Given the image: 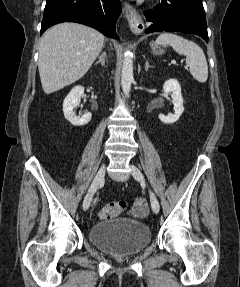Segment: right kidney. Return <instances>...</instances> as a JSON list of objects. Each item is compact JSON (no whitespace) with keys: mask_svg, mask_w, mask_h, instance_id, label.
Here are the masks:
<instances>
[{"mask_svg":"<svg viewBox=\"0 0 240 287\" xmlns=\"http://www.w3.org/2000/svg\"><path fill=\"white\" fill-rule=\"evenodd\" d=\"M84 94V87L76 86L66 96L63 102L64 117L74 126H83L90 122L91 112H85L82 116H76L73 111L80 104V98Z\"/></svg>","mask_w":240,"mask_h":287,"instance_id":"obj_1","label":"right kidney"}]
</instances>
